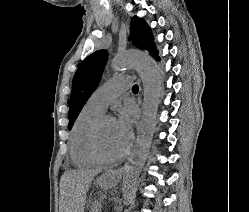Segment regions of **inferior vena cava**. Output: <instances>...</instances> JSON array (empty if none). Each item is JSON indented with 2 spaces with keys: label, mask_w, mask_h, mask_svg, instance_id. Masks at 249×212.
Returning a JSON list of instances; mask_svg holds the SVG:
<instances>
[{
  "label": "inferior vena cava",
  "mask_w": 249,
  "mask_h": 212,
  "mask_svg": "<svg viewBox=\"0 0 249 212\" xmlns=\"http://www.w3.org/2000/svg\"><path fill=\"white\" fill-rule=\"evenodd\" d=\"M126 176H127V174H126V170H125V174H124V180H125Z\"/></svg>",
  "instance_id": "inferior-vena-cava-1"
}]
</instances>
